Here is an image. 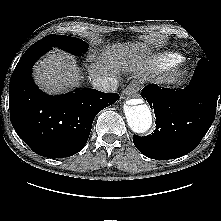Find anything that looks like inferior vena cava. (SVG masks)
Listing matches in <instances>:
<instances>
[{
    "label": "inferior vena cava",
    "instance_id": "1",
    "mask_svg": "<svg viewBox=\"0 0 221 221\" xmlns=\"http://www.w3.org/2000/svg\"><path fill=\"white\" fill-rule=\"evenodd\" d=\"M91 84L94 89L102 92H115L118 87L117 79L106 75L93 77Z\"/></svg>",
    "mask_w": 221,
    "mask_h": 221
}]
</instances>
